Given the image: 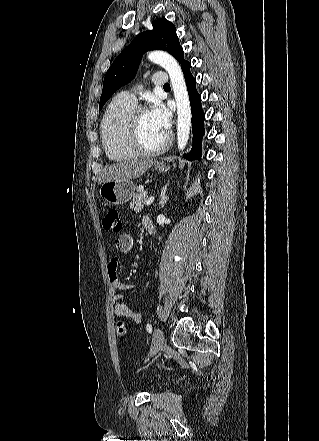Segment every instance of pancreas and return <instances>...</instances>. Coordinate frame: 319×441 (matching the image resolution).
Returning a JSON list of instances; mask_svg holds the SVG:
<instances>
[{"instance_id": "1", "label": "pancreas", "mask_w": 319, "mask_h": 441, "mask_svg": "<svg viewBox=\"0 0 319 441\" xmlns=\"http://www.w3.org/2000/svg\"><path fill=\"white\" fill-rule=\"evenodd\" d=\"M146 199H147V193L144 190L137 189L130 203V208L134 210L136 213L141 212L144 207V204L146 203Z\"/></svg>"}]
</instances>
